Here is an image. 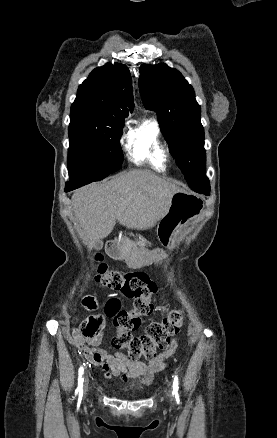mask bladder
I'll return each instance as SVG.
<instances>
[{"label":"bladder","instance_id":"bladder-1","mask_svg":"<svg viewBox=\"0 0 277 438\" xmlns=\"http://www.w3.org/2000/svg\"><path fill=\"white\" fill-rule=\"evenodd\" d=\"M115 394L117 396H123L127 398H136L147 394V389H118L116 390Z\"/></svg>","mask_w":277,"mask_h":438}]
</instances>
